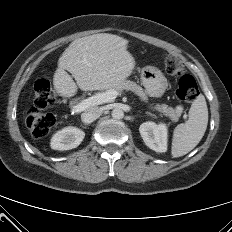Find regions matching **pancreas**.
<instances>
[{
  "mask_svg": "<svg viewBox=\"0 0 232 232\" xmlns=\"http://www.w3.org/2000/svg\"><path fill=\"white\" fill-rule=\"evenodd\" d=\"M110 90H115V91L130 90L134 92L136 95H138L142 101L147 102L148 100L147 94L142 89V87L137 85L133 81L125 80L114 87L106 89L105 92ZM155 109L163 113V115L169 117L173 122H177L181 115L180 111H177L166 104H161V105L158 104L155 106Z\"/></svg>",
  "mask_w": 232,
  "mask_h": 232,
  "instance_id": "1",
  "label": "pancreas"
}]
</instances>
